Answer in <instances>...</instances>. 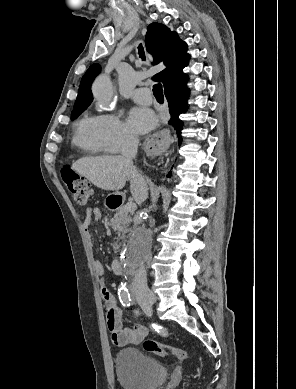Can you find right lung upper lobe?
<instances>
[{
    "label": "right lung upper lobe",
    "instance_id": "obj_1",
    "mask_svg": "<svg viewBox=\"0 0 296 389\" xmlns=\"http://www.w3.org/2000/svg\"><path fill=\"white\" fill-rule=\"evenodd\" d=\"M145 44L147 51L153 55V64L163 61L167 66L166 69L154 75V80L162 82L165 87L175 78L188 79L182 72L190 58L187 54V44L181 41L175 32H171L165 25L151 23L147 28ZM99 72L100 66L93 64L82 77L74 110L88 107L91 104L93 100L91 84Z\"/></svg>",
    "mask_w": 296,
    "mask_h": 389
}]
</instances>
